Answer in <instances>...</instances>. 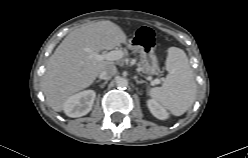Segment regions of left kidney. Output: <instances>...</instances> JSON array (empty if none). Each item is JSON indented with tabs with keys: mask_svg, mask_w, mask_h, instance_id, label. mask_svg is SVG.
Instances as JSON below:
<instances>
[{
	"mask_svg": "<svg viewBox=\"0 0 248 158\" xmlns=\"http://www.w3.org/2000/svg\"><path fill=\"white\" fill-rule=\"evenodd\" d=\"M150 112L158 119L165 120L169 117L168 112L156 101L150 99L147 101Z\"/></svg>",
	"mask_w": 248,
	"mask_h": 158,
	"instance_id": "1",
	"label": "left kidney"
}]
</instances>
